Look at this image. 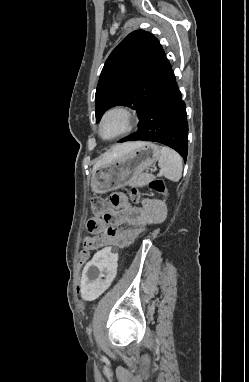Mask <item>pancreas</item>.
I'll return each instance as SVG.
<instances>
[{
	"label": "pancreas",
	"mask_w": 249,
	"mask_h": 382,
	"mask_svg": "<svg viewBox=\"0 0 249 382\" xmlns=\"http://www.w3.org/2000/svg\"><path fill=\"white\" fill-rule=\"evenodd\" d=\"M152 175L149 174H143L140 175L139 177L131 179L129 182V185L131 187H143L147 185L151 180H152Z\"/></svg>",
	"instance_id": "1"
}]
</instances>
